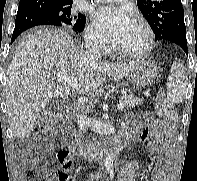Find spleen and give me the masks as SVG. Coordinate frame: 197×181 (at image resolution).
<instances>
[{
  "label": "spleen",
  "mask_w": 197,
  "mask_h": 181,
  "mask_svg": "<svg viewBox=\"0 0 197 181\" xmlns=\"http://www.w3.org/2000/svg\"><path fill=\"white\" fill-rule=\"evenodd\" d=\"M187 89V76L184 66L180 62H174L170 68L167 80V98L172 103H181L185 99Z\"/></svg>",
  "instance_id": "3e777b00"
}]
</instances>
